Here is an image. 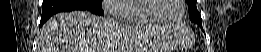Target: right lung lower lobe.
Returning a JSON list of instances; mask_svg holds the SVG:
<instances>
[{"instance_id":"right-lung-lower-lobe-1","label":"right lung lower lobe","mask_w":261,"mask_h":52,"mask_svg":"<svg viewBox=\"0 0 261 52\" xmlns=\"http://www.w3.org/2000/svg\"><path fill=\"white\" fill-rule=\"evenodd\" d=\"M72 10H88L97 15H103L101 7L87 4L80 0H44L42 4L41 27L49 17L58 13Z\"/></svg>"}]
</instances>
